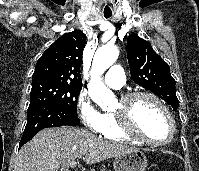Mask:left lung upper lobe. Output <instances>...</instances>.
I'll return each instance as SVG.
<instances>
[{
  "label": "left lung upper lobe",
  "mask_w": 199,
  "mask_h": 171,
  "mask_svg": "<svg viewBox=\"0 0 199 171\" xmlns=\"http://www.w3.org/2000/svg\"><path fill=\"white\" fill-rule=\"evenodd\" d=\"M127 58L132 79L176 110L179 101L175 93V80L168 64L156 54L151 44L135 34H130L127 39Z\"/></svg>",
  "instance_id": "5c2ea615"
}]
</instances>
